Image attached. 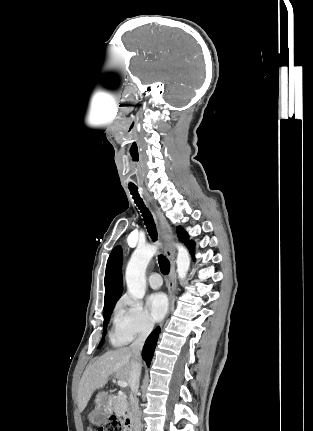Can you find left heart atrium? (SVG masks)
Instances as JSON below:
<instances>
[{
	"mask_svg": "<svg viewBox=\"0 0 313 431\" xmlns=\"http://www.w3.org/2000/svg\"><path fill=\"white\" fill-rule=\"evenodd\" d=\"M147 307L151 318L154 321H160L166 314L168 309L167 298L163 293L151 294L147 300Z\"/></svg>",
	"mask_w": 313,
	"mask_h": 431,
	"instance_id": "1",
	"label": "left heart atrium"
}]
</instances>
